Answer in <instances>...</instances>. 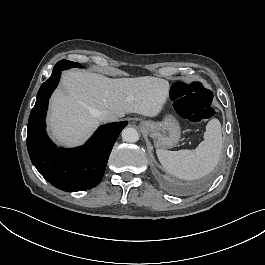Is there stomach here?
Listing matches in <instances>:
<instances>
[{
  "instance_id": "1",
  "label": "stomach",
  "mask_w": 265,
  "mask_h": 265,
  "mask_svg": "<svg viewBox=\"0 0 265 265\" xmlns=\"http://www.w3.org/2000/svg\"><path fill=\"white\" fill-rule=\"evenodd\" d=\"M140 127L154 139L155 146L159 148L175 147L181 136L178 122L173 118L163 122L142 121Z\"/></svg>"
}]
</instances>
